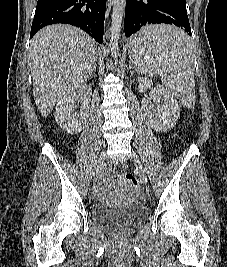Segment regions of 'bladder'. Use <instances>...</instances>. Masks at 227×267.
<instances>
[{
    "instance_id": "bladder-1",
    "label": "bladder",
    "mask_w": 227,
    "mask_h": 267,
    "mask_svg": "<svg viewBox=\"0 0 227 267\" xmlns=\"http://www.w3.org/2000/svg\"><path fill=\"white\" fill-rule=\"evenodd\" d=\"M146 215L143 205L119 207L96 204L92 208L94 222L108 228L130 229L142 222Z\"/></svg>"
}]
</instances>
